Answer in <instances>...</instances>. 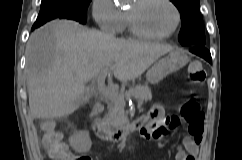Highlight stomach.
<instances>
[{
  "label": "stomach",
  "mask_w": 242,
  "mask_h": 160,
  "mask_svg": "<svg viewBox=\"0 0 242 160\" xmlns=\"http://www.w3.org/2000/svg\"><path fill=\"white\" fill-rule=\"evenodd\" d=\"M188 61L189 59L183 51L173 50L153 64L146 74V79L149 83L156 84L168 74L185 66Z\"/></svg>",
  "instance_id": "stomach-1"
}]
</instances>
